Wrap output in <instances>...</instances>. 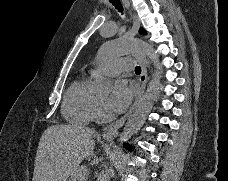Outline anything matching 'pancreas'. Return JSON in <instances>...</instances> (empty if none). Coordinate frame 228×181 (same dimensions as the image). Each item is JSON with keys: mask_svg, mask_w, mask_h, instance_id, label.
<instances>
[{"mask_svg": "<svg viewBox=\"0 0 228 181\" xmlns=\"http://www.w3.org/2000/svg\"><path fill=\"white\" fill-rule=\"evenodd\" d=\"M88 169L87 167H78L70 175L69 181H87Z\"/></svg>", "mask_w": 228, "mask_h": 181, "instance_id": "cf45deb5", "label": "pancreas"}]
</instances>
